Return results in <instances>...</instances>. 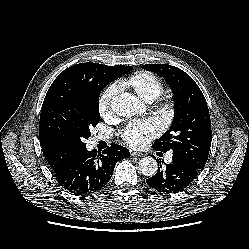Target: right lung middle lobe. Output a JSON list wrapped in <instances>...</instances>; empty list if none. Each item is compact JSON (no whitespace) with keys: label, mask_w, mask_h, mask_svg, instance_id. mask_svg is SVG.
Segmentation results:
<instances>
[{"label":"right lung middle lobe","mask_w":249,"mask_h":249,"mask_svg":"<svg viewBox=\"0 0 249 249\" xmlns=\"http://www.w3.org/2000/svg\"><path fill=\"white\" fill-rule=\"evenodd\" d=\"M102 79L89 83L62 72L50 86L40 115V140L65 144L74 151L86 148L85 139L91 136L100 114L98 99L101 90L110 82L129 72L132 66L101 65Z\"/></svg>","instance_id":"dd1d6c3e"}]
</instances>
